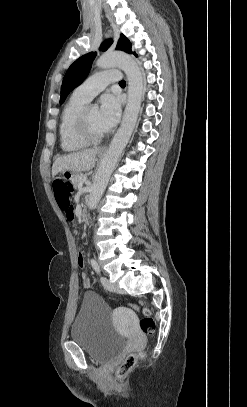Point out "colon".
<instances>
[{"mask_svg": "<svg viewBox=\"0 0 247 407\" xmlns=\"http://www.w3.org/2000/svg\"><path fill=\"white\" fill-rule=\"evenodd\" d=\"M53 193L59 208L64 212L71 206L70 196L72 185L62 178H55L52 183ZM130 306L133 309L143 308L144 318L140 320V329L143 333L151 335L155 332L156 323L150 315V310L142 302H132ZM144 356L143 352L128 355L122 364L117 368L115 375L117 378L126 376L137 364L138 360Z\"/></svg>", "mask_w": 247, "mask_h": 407, "instance_id": "colon-1", "label": "colon"}]
</instances>
